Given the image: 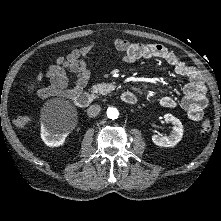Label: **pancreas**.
<instances>
[{
    "instance_id": "pancreas-1",
    "label": "pancreas",
    "mask_w": 221,
    "mask_h": 221,
    "mask_svg": "<svg viewBox=\"0 0 221 221\" xmlns=\"http://www.w3.org/2000/svg\"><path fill=\"white\" fill-rule=\"evenodd\" d=\"M110 90V85L106 83H99L91 87V93L95 97L100 94H107L108 92H110Z\"/></svg>"
}]
</instances>
